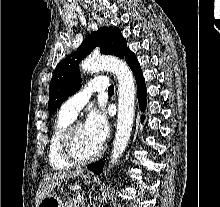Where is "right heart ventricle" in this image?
<instances>
[{
  "instance_id": "right-heart-ventricle-1",
  "label": "right heart ventricle",
  "mask_w": 220,
  "mask_h": 207,
  "mask_svg": "<svg viewBox=\"0 0 220 207\" xmlns=\"http://www.w3.org/2000/svg\"><path fill=\"white\" fill-rule=\"evenodd\" d=\"M73 118L59 112L51 133L48 145V160L55 170H65L73 166L61 153L60 141L65 129L71 124Z\"/></svg>"
}]
</instances>
